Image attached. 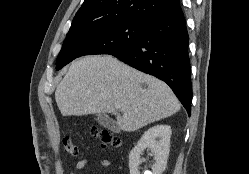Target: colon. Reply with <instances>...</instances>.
<instances>
[{
    "label": "colon",
    "instance_id": "obj_1",
    "mask_svg": "<svg viewBox=\"0 0 249 174\" xmlns=\"http://www.w3.org/2000/svg\"><path fill=\"white\" fill-rule=\"evenodd\" d=\"M91 135L98 140L102 147H118L121 144L120 138L106 129L93 128ZM62 143L65 154L76 155L78 153L77 146L70 137H64Z\"/></svg>",
    "mask_w": 249,
    "mask_h": 174
}]
</instances>
